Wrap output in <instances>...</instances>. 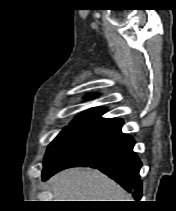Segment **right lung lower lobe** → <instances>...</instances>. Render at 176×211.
Segmentation results:
<instances>
[{
  "label": "right lung lower lobe",
  "instance_id": "right-lung-lower-lobe-1",
  "mask_svg": "<svg viewBox=\"0 0 176 211\" xmlns=\"http://www.w3.org/2000/svg\"><path fill=\"white\" fill-rule=\"evenodd\" d=\"M123 121L110 119L86 133L67 148L51 165L44 167L43 180L56 172L76 166L99 169L118 182L140 201L142 182L141 161L133 152L134 139L121 132Z\"/></svg>",
  "mask_w": 176,
  "mask_h": 211
}]
</instances>
